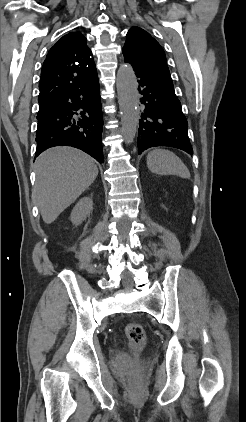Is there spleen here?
<instances>
[{"label": "spleen", "mask_w": 246, "mask_h": 422, "mask_svg": "<svg viewBox=\"0 0 246 422\" xmlns=\"http://www.w3.org/2000/svg\"><path fill=\"white\" fill-rule=\"evenodd\" d=\"M148 169L159 175H177L190 178V172L181 159L172 151L153 149L147 155Z\"/></svg>", "instance_id": "3e777b00"}]
</instances>
